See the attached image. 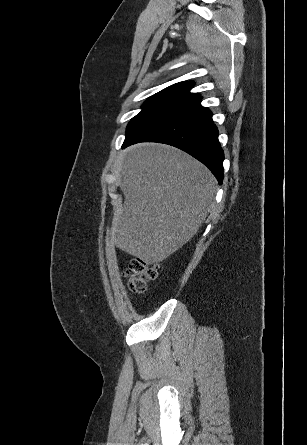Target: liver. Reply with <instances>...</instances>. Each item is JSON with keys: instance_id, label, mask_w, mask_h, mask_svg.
<instances>
[{"instance_id": "liver-1", "label": "liver", "mask_w": 307, "mask_h": 445, "mask_svg": "<svg viewBox=\"0 0 307 445\" xmlns=\"http://www.w3.org/2000/svg\"><path fill=\"white\" fill-rule=\"evenodd\" d=\"M123 210L111 241L144 263H160L188 243L213 208L216 178L179 148L145 142L125 150Z\"/></svg>"}]
</instances>
